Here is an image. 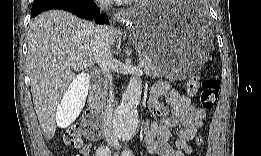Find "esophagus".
<instances>
[{
  "instance_id": "obj_1",
  "label": "esophagus",
  "mask_w": 261,
  "mask_h": 156,
  "mask_svg": "<svg viewBox=\"0 0 261 156\" xmlns=\"http://www.w3.org/2000/svg\"><path fill=\"white\" fill-rule=\"evenodd\" d=\"M121 16H122V17L124 16V11H123V10H121V11L118 12V14H117V20H119Z\"/></svg>"
}]
</instances>
